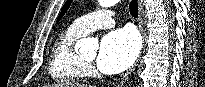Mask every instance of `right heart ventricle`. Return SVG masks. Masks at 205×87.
<instances>
[{"mask_svg": "<svg viewBox=\"0 0 205 87\" xmlns=\"http://www.w3.org/2000/svg\"><path fill=\"white\" fill-rule=\"evenodd\" d=\"M84 35L70 26L56 39L49 62V73L55 81L73 84L84 79L86 66L74 49L75 41Z\"/></svg>", "mask_w": 205, "mask_h": 87, "instance_id": "right-heart-ventricle-1", "label": "right heart ventricle"}]
</instances>
